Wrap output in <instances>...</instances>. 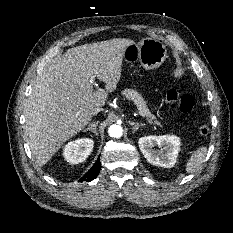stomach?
<instances>
[{"mask_svg": "<svg viewBox=\"0 0 233 233\" xmlns=\"http://www.w3.org/2000/svg\"><path fill=\"white\" fill-rule=\"evenodd\" d=\"M124 57L130 62L139 61L145 70H152L162 65L167 58V50L161 41L144 38L129 45L125 49Z\"/></svg>", "mask_w": 233, "mask_h": 233, "instance_id": "stomach-1", "label": "stomach"}]
</instances>
